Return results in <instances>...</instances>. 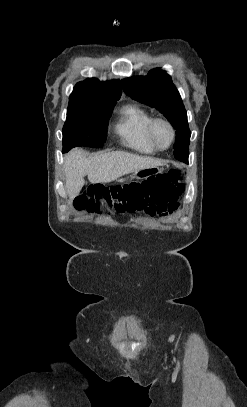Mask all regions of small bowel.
I'll list each match as a JSON object with an SVG mask.
<instances>
[{
	"instance_id": "small-bowel-1",
	"label": "small bowel",
	"mask_w": 247,
	"mask_h": 407,
	"mask_svg": "<svg viewBox=\"0 0 247 407\" xmlns=\"http://www.w3.org/2000/svg\"><path fill=\"white\" fill-rule=\"evenodd\" d=\"M179 208V202H149L140 211H137L131 215L142 214L147 217H160L165 218L174 214Z\"/></svg>"
}]
</instances>
